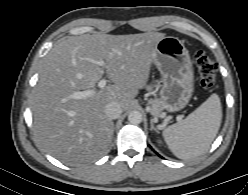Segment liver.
Here are the masks:
<instances>
[{
  "label": "liver",
  "instance_id": "obj_1",
  "mask_svg": "<svg viewBox=\"0 0 248 195\" xmlns=\"http://www.w3.org/2000/svg\"><path fill=\"white\" fill-rule=\"evenodd\" d=\"M164 37L159 32L83 34L55 44L41 64L31 105L34 134L43 148L71 166L103 156L114 132L105 106L130 107L148 81L156 45ZM104 74L113 84L96 90ZM87 90L95 93L73 97Z\"/></svg>",
  "mask_w": 248,
  "mask_h": 195
}]
</instances>
